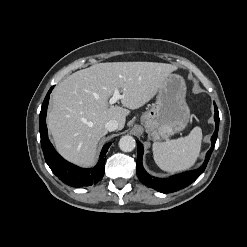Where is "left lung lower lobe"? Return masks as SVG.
<instances>
[{"mask_svg": "<svg viewBox=\"0 0 247 247\" xmlns=\"http://www.w3.org/2000/svg\"><path fill=\"white\" fill-rule=\"evenodd\" d=\"M214 119L216 122V127H215V132L211 137L212 146L206 154V159L203 165L197 170L178 174L168 179H160L153 177L144 170L142 165L143 146L139 141H137L138 157L136 162V173L140 181L146 186L154 188L155 190L161 193L174 192L194 182L204 172L206 165L209 161L210 155L212 154V151L214 149L215 142L217 140V134L219 128V113L216 104H215Z\"/></svg>", "mask_w": 247, "mask_h": 247, "instance_id": "0a47b994", "label": "left lung lower lobe"}]
</instances>
